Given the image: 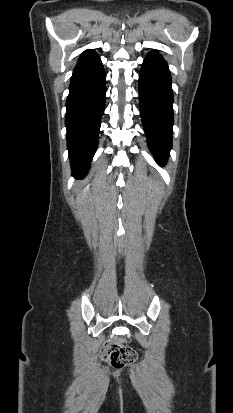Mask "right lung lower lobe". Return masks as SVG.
<instances>
[{
	"mask_svg": "<svg viewBox=\"0 0 233 413\" xmlns=\"http://www.w3.org/2000/svg\"><path fill=\"white\" fill-rule=\"evenodd\" d=\"M106 74L94 50L84 51L71 77L65 125L72 170L84 174L98 145L105 107Z\"/></svg>",
	"mask_w": 233,
	"mask_h": 413,
	"instance_id": "98d812e1",
	"label": "right lung lower lobe"
}]
</instances>
